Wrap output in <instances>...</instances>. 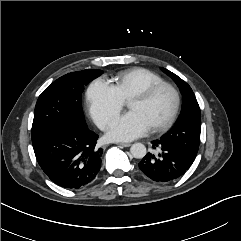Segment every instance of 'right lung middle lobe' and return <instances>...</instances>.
I'll use <instances>...</instances> for the list:
<instances>
[{
	"label": "right lung middle lobe",
	"instance_id": "obj_1",
	"mask_svg": "<svg viewBox=\"0 0 241 241\" xmlns=\"http://www.w3.org/2000/svg\"><path fill=\"white\" fill-rule=\"evenodd\" d=\"M103 73L87 69L66 74L49 85L39 96L32 124V142L65 124L86 126L81 93L84 86Z\"/></svg>",
	"mask_w": 241,
	"mask_h": 241
}]
</instances>
